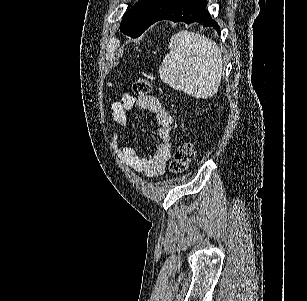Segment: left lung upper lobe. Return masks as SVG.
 <instances>
[{"label": "left lung upper lobe", "instance_id": "1", "mask_svg": "<svg viewBox=\"0 0 307 301\" xmlns=\"http://www.w3.org/2000/svg\"><path fill=\"white\" fill-rule=\"evenodd\" d=\"M179 0H142L124 16L120 30L133 38L139 37L156 19Z\"/></svg>", "mask_w": 307, "mask_h": 301}]
</instances>
